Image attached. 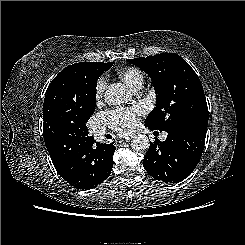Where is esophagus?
I'll return each mask as SVG.
<instances>
[{"instance_id": "34e87169", "label": "esophagus", "mask_w": 245, "mask_h": 245, "mask_svg": "<svg viewBox=\"0 0 245 245\" xmlns=\"http://www.w3.org/2000/svg\"><path fill=\"white\" fill-rule=\"evenodd\" d=\"M131 139H132V137H127V138H125L124 140H120V142H123V141L129 142Z\"/></svg>"}]
</instances>
